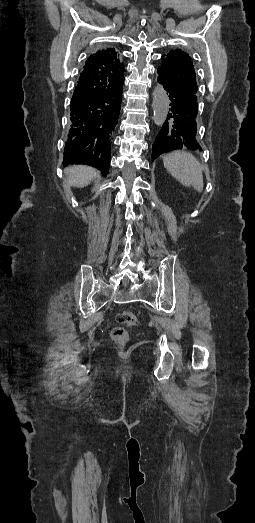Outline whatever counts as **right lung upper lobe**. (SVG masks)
I'll use <instances>...</instances> for the list:
<instances>
[{"label":"right lung upper lobe","mask_w":255,"mask_h":523,"mask_svg":"<svg viewBox=\"0 0 255 523\" xmlns=\"http://www.w3.org/2000/svg\"><path fill=\"white\" fill-rule=\"evenodd\" d=\"M124 65L114 48L98 50L90 55L80 74L71 99V127L64 148L63 164H86L107 174L111 158L112 134L118 122L124 82ZM100 100V137L94 142V153H83V114L79 103L90 98Z\"/></svg>","instance_id":"cb5924a9"}]
</instances>
